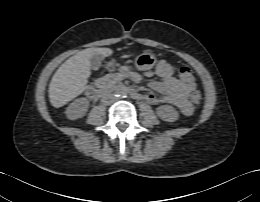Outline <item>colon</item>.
Returning <instances> with one entry per match:
<instances>
[{"instance_id": "1", "label": "colon", "mask_w": 260, "mask_h": 202, "mask_svg": "<svg viewBox=\"0 0 260 202\" xmlns=\"http://www.w3.org/2000/svg\"><path fill=\"white\" fill-rule=\"evenodd\" d=\"M179 79L183 83H192L195 81V74L189 67H182L179 70ZM190 99L193 104H199L202 100V94L199 90H195L191 93Z\"/></svg>"}]
</instances>
